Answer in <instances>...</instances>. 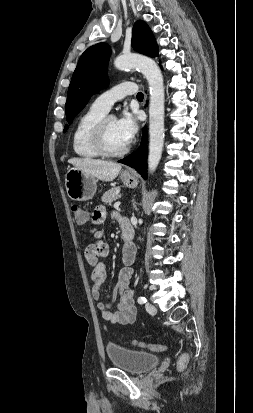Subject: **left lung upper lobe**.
Masks as SVG:
<instances>
[{
    "mask_svg": "<svg viewBox=\"0 0 253 413\" xmlns=\"http://www.w3.org/2000/svg\"><path fill=\"white\" fill-rule=\"evenodd\" d=\"M132 47L139 53L156 57L158 46L149 26L144 21H137L133 27ZM110 48L99 43L88 48L80 57L73 73L65 104L66 119L69 124L84 108L91 95L109 85L106 74L110 57ZM68 125L64 127V132Z\"/></svg>",
    "mask_w": 253,
    "mask_h": 413,
    "instance_id": "obj_1",
    "label": "left lung upper lobe"
}]
</instances>
